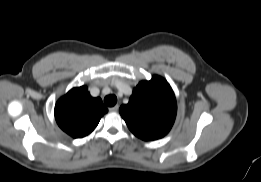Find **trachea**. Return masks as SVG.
Masks as SVG:
<instances>
[{"mask_svg":"<svg viewBox=\"0 0 261 182\" xmlns=\"http://www.w3.org/2000/svg\"><path fill=\"white\" fill-rule=\"evenodd\" d=\"M116 102H117V97L115 95H108L104 98V103L109 107L114 106Z\"/></svg>","mask_w":261,"mask_h":182,"instance_id":"3493384b","label":"trachea"}]
</instances>
